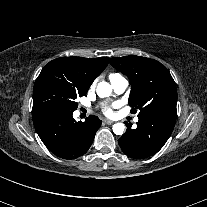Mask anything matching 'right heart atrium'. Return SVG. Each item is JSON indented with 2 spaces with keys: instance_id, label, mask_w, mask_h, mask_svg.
<instances>
[{
  "instance_id": "d8ad5b80",
  "label": "right heart atrium",
  "mask_w": 207,
  "mask_h": 207,
  "mask_svg": "<svg viewBox=\"0 0 207 207\" xmlns=\"http://www.w3.org/2000/svg\"><path fill=\"white\" fill-rule=\"evenodd\" d=\"M94 87V84L91 85L90 89H92Z\"/></svg>"
}]
</instances>
